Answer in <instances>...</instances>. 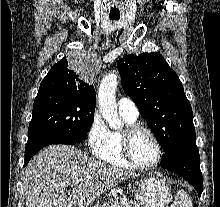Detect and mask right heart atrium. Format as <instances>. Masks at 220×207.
<instances>
[{"label":"right heart atrium","instance_id":"obj_1","mask_svg":"<svg viewBox=\"0 0 220 207\" xmlns=\"http://www.w3.org/2000/svg\"><path fill=\"white\" fill-rule=\"evenodd\" d=\"M109 130L98 112L92 115L87 131V144L94 153L99 150L106 142Z\"/></svg>","mask_w":220,"mask_h":207}]
</instances>
